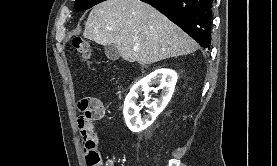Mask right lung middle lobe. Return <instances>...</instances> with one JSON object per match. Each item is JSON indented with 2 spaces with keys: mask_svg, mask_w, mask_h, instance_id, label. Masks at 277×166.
Returning a JSON list of instances; mask_svg holds the SVG:
<instances>
[{
  "mask_svg": "<svg viewBox=\"0 0 277 166\" xmlns=\"http://www.w3.org/2000/svg\"><path fill=\"white\" fill-rule=\"evenodd\" d=\"M105 0H76L75 1V10L77 11H83V10H87L91 7H93L94 5L101 3Z\"/></svg>",
  "mask_w": 277,
  "mask_h": 166,
  "instance_id": "right-lung-middle-lobe-1",
  "label": "right lung middle lobe"
}]
</instances>
